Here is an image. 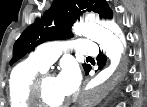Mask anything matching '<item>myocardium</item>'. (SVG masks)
Masks as SVG:
<instances>
[{"label":"myocardium","mask_w":147,"mask_h":107,"mask_svg":"<svg viewBox=\"0 0 147 107\" xmlns=\"http://www.w3.org/2000/svg\"><path fill=\"white\" fill-rule=\"evenodd\" d=\"M50 77H53V74L47 70H44L33 80L28 95L29 103L32 107H65L69 103L68 100L57 104H49L44 101L42 88L44 81Z\"/></svg>","instance_id":"myocardium-1"}]
</instances>
